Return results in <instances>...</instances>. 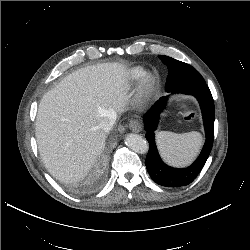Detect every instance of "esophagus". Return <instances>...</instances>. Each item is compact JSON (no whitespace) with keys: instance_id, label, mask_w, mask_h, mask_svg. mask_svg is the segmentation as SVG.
<instances>
[{"instance_id":"esophagus-1","label":"esophagus","mask_w":250,"mask_h":250,"mask_svg":"<svg viewBox=\"0 0 250 250\" xmlns=\"http://www.w3.org/2000/svg\"><path fill=\"white\" fill-rule=\"evenodd\" d=\"M129 127L133 132H136V133L142 130V125L138 120H132L129 124Z\"/></svg>"}]
</instances>
